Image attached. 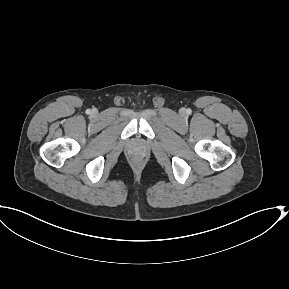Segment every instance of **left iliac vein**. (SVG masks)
<instances>
[{
    "label": "left iliac vein",
    "mask_w": 289,
    "mask_h": 289,
    "mask_svg": "<svg viewBox=\"0 0 289 289\" xmlns=\"http://www.w3.org/2000/svg\"><path fill=\"white\" fill-rule=\"evenodd\" d=\"M184 113H185L184 111L181 112V114H184Z\"/></svg>",
    "instance_id": "4c4485c4"
}]
</instances>
